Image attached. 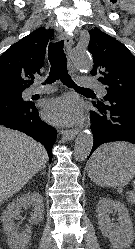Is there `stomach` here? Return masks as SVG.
Instances as JSON below:
<instances>
[{"instance_id":"obj_1","label":"stomach","mask_w":135,"mask_h":249,"mask_svg":"<svg viewBox=\"0 0 135 249\" xmlns=\"http://www.w3.org/2000/svg\"><path fill=\"white\" fill-rule=\"evenodd\" d=\"M110 145L99 148L100 154L91 158L88 163V174L101 186H124L135 175V157L110 150Z\"/></svg>"}]
</instances>
